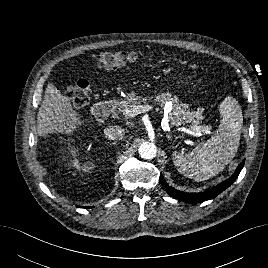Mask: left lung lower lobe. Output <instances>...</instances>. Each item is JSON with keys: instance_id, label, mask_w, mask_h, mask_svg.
I'll return each mask as SVG.
<instances>
[{"instance_id": "0a47b994", "label": "left lung lower lobe", "mask_w": 268, "mask_h": 268, "mask_svg": "<svg viewBox=\"0 0 268 268\" xmlns=\"http://www.w3.org/2000/svg\"><path fill=\"white\" fill-rule=\"evenodd\" d=\"M243 166H244V161L239 164L235 173L229 179L220 183L216 187H213L212 189H208L205 192H201V193H186V192L176 190L172 188L171 186L167 185L162 174H160V183L168 188L167 193L171 195L172 197L178 200L184 201V202H188V203H200V202H204L206 200L215 198L222 191L228 188L237 179Z\"/></svg>"}]
</instances>
